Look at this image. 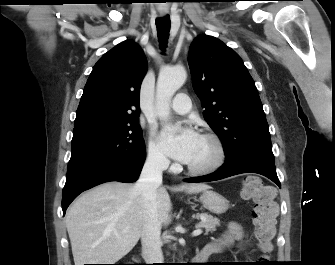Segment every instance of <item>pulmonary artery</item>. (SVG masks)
Masks as SVG:
<instances>
[{
  "instance_id": "pulmonary-artery-1",
  "label": "pulmonary artery",
  "mask_w": 335,
  "mask_h": 265,
  "mask_svg": "<svg viewBox=\"0 0 335 265\" xmlns=\"http://www.w3.org/2000/svg\"><path fill=\"white\" fill-rule=\"evenodd\" d=\"M171 109L178 114H186L191 109V101L187 94H178L171 103Z\"/></svg>"
}]
</instances>
